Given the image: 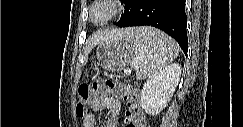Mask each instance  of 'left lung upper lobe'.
<instances>
[{"label":"left lung upper lobe","instance_id":"5c2ea615","mask_svg":"<svg viewBox=\"0 0 243 127\" xmlns=\"http://www.w3.org/2000/svg\"><path fill=\"white\" fill-rule=\"evenodd\" d=\"M127 1H129V0H124V3L127 2Z\"/></svg>","mask_w":243,"mask_h":127}]
</instances>
